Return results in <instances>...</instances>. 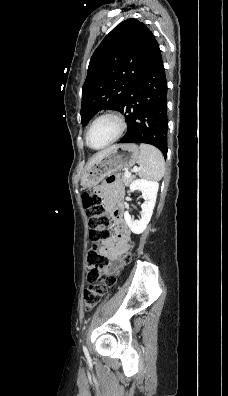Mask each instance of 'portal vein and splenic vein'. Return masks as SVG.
Returning a JSON list of instances; mask_svg holds the SVG:
<instances>
[{"label":"portal vein and splenic vein","mask_w":228,"mask_h":396,"mask_svg":"<svg viewBox=\"0 0 228 396\" xmlns=\"http://www.w3.org/2000/svg\"><path fill=\"white\" fill-rule=\"evenodd\" d=\"M133 171H134V172L138 171V168L135 167V168L133 169ZM125 175H126V176H130L131 173H130L129 171H126V172H125Z\"/></svg>","instance_id":"18ae733b"}]
</instances>
